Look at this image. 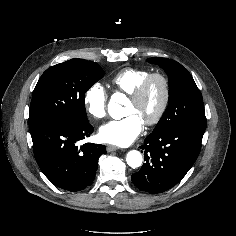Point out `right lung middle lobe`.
Wrapping results in <instances>:
<instances>
[{
    "instance_id": "obj_1",
    "label": "right lung middle lobe",
    "mask_w": 236,
    "mask_h": 236,
    "mask_svg": "<svg viewBox=\"0 0 236 236\" xmlns=\"http://www.w3.org/2000/svg\"><path fill=\"white\" fill-rule=\"evenodd\" d=\"M103 76L104 71L97 63L83 59L48 68L34 89L29 120L48 117L87 121L85 93Z\"/></svg>"
}]
</instances>
